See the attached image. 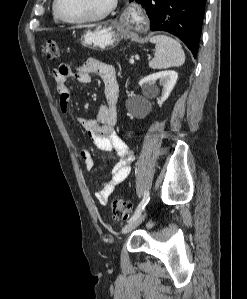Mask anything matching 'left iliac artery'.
I'll list each match as a JSON object with an SVG mask.
<instances>
[{
    "label": "left iliac artery",
    "instance_id": "left-iliac-artery-1",
    "mask_svg": "<svg viewBox=\"0 0 247 299\" xmlns=\"http://www.w3.org/2000/svg\"><path fill=\"white\" fill-rule=\"evenodd\" d=\"M149 200H150V194H149V191H146L142 201L136 208V210H135L134 214L132 215V217L130 218L129 222L137 219L141 215L142 211L144 210L145 206L148 204Z\"/></svg>",
    "mask_w": 247,
    "mask_h": 299
}]
</instances>
